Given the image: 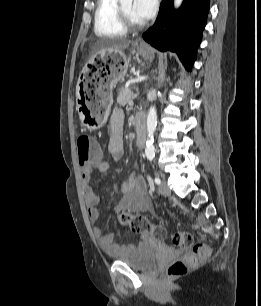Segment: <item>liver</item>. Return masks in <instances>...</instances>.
I'll use <instances>...</instances> for the list:
<instances>
[{"label":"liver","mask_w":261,"mask_h":306,"mask_svg":"<svg viewBox=\"0 0 261 306\" xmlns=\"http://www.w3.org/2000/svg\"><path fill=\"white\" fill-rule=\"evenodd\" d=\"M130 43L131 41H125V40L114 41L102 47L100 53L123 50L126 49Z\"/></svg>","instance_id":"obj_1"}]
</instances>
